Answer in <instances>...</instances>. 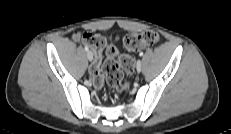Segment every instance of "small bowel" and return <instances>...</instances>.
<instances>
[{"instance_id": "1", "label": "small bowel", "mask_w": 231, "mask_h": 134, "mask_svg": "<svg viewBox=\"0 0 231 134\" xmlns=\"http://www.w3.org/2000/svg\"><path fill=\"white\" fill-rule=\"evenodd\" d=\"M74 39H75V40H79V39H80V36L77 34V35L74 36Z\"/></svg>"}]
</instances>
